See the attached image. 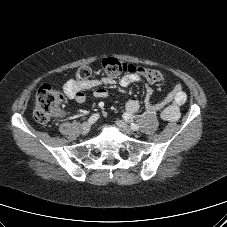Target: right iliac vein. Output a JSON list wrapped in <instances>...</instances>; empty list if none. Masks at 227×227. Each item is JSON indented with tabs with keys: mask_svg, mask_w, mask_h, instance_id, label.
<instances>
[{
	"mask_svg": "<svg viewBox=\"0 0 227 227\" xmlns=\"http://www.w3.org/2000/svg\"><path fill=\"white\" fill-rule=\"evenodd\" d=\"M90 127H91L90 123H88V122L84 123L81 127V133L84 135L87 134L90 130Z\"/></svg>",
	"mask_w": 227,
	"mask_h": 227,
	"instance_id": "right-iliac-vein-1",
	"label": "right iliac vein"
}]
</instances>
